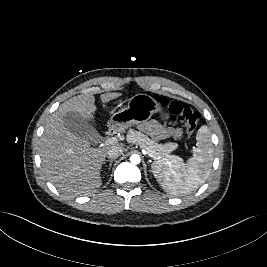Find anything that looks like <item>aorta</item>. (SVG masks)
<instances>
[{"mask_svg": "<svg viewBox=\"0 0 267 267\" xmlns=\"http://www.w3.org/2000/svg\"><path fill=\"white\" fill-rule=\"evenodd\" d=\"M140 161H141V159H140V156L139 155H137V154L131 155V157H130V162L131 163H133V164H139Z\"/></svg>", "mask_w": 267, "mask_h": 267, "instance_id": "1", "label": "aorta"}]
</instances>
